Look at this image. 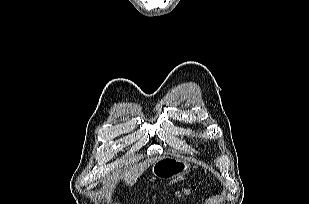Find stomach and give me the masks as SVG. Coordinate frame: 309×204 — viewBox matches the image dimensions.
I'll use <instances>...</instances> for the list:
<instances>
[{
	"label": "stomach",
	"mask_w": 309,
	"mask_h": 204,
	"mask_svg": "<svg viewBox=\"0 0 309 204\" xmlns=\"http://www.w3.org/2000/svg\"><path fill=\"white\" fill-rule=\"evenodd\" d=\"M190 165L183 160L164 157L155 161L151 167V171L156 178L169 180L174 177L187 173Z\"/></svg>",
	"instance_id": "obj_1"
}]
</instances>
